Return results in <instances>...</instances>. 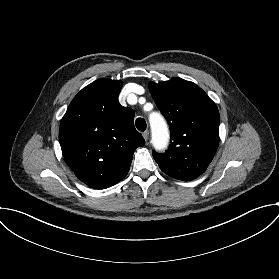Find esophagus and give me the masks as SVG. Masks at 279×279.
<instances>
[{"mask_svg": "<svg viewBox=\"0 0 279 279\" xmlns=\"http://www.w3.org/2000/svg\"><path fill=\"white\" fill-rule=\"evenodd\" d=\"M142 136L144 137L145 141L147 142L148 139H149V131H148V130L144 131V132L142 133Z\"/></svg>", "mask_w": 279, "mask_h": 279, "instance_id": "34e87169", "label": "esophagus"}]
</instances>
